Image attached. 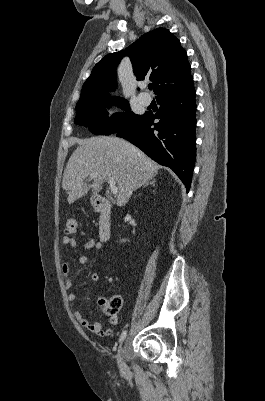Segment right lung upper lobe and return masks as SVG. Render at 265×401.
<instances>
[{
	"label": "right lung upper lobe",
	"mask_w": 265,
	"mask_h": 401,
	"mask_svg": "<svg viewBox=\"0 0 265 401\" xmlns=\"http://www.w3.org/2000/svg\"><path fill=\"white\" fill-rule=\"evenodd\" d=\"M128 55L138 80L150 77L154 93L172 92L187 87L192 81L187 53L180 41L167 29L157 28L142 35L126 50L110 53L100 60L82 87L77 103L89 101L116 88V67Z\"/></svg>",
	"instance_id": "cb5924a9"
}]
</instances>
